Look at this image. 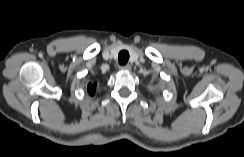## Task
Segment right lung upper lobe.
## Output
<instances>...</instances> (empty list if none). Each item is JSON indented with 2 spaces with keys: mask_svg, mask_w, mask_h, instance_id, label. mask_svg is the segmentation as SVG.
Listing matches in <instances>:
<instances>
[{
  "mask_svg": "<svg viewBox=\"0 0 244 157\" xmlns=\"http://www.w3.org/2000/svg\"><path fill=\"white\" fill-rule=\"evenodd\" d=\"M96 83L92 84V83H89L88 84V93L93 96L95 94V88H96Z\"/></svg>",
  "mask_w": 244,
  "mask_h": 157,
  "instance_id": "cb5924a9",
  "label": "right lung upper lobe"
}]
</instances>
